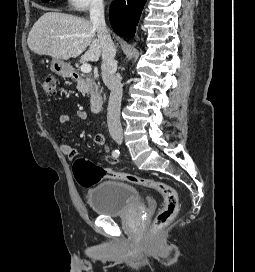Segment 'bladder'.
Returning <instances> with one entry per match:
<instances>
[{"label": "bladder", "instance_id": "31cf9c89", "mask_svg": "<svg viewBox=\"0 0 255 272\" xmlns=\"http://www.w3.org/2000/svg\"><path fill=\"white\" fill-rule=\"evenodd\" d=\"M86 198L96 214L107 217L124 215L140 203L138 190L119 180L98 183L86 193Z\"/></svg>", "mask_w": 255, "mask_h": 272}]
</instances>
